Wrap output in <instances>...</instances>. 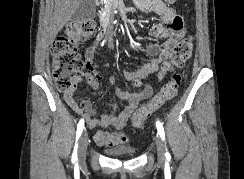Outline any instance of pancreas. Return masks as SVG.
Wrapping results in <instances>:
<instances>
[{
  "instance_id": "obj_1",
  "label": "pancreas",
  "mask_w": 244,
  "mask_h": 179,
  "mask_svg": "<svg viewBox=\"0 0 244 179\" xmlns=\"http://www.w3.org/2000/svg\"><path fill=\"white\" fill-rule=\"evenodd\" d=\"M114 2L115 0H106L105 8L101 10V20H110L112 16L111 8H113Z\"/></svg>"
}]
</instances>
